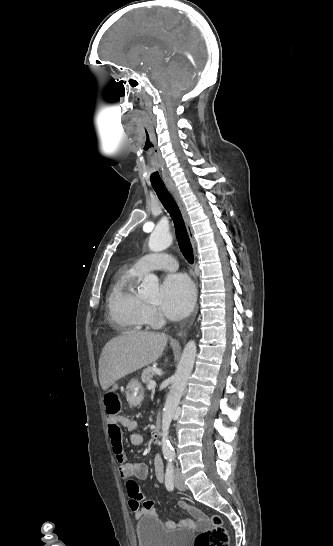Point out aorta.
Returning a JSON list of instances; mask_svg holds the SVG:
<instances>
[{
  "label": "aorta",
  "instance_id": "aorta-1",
  "mask_svg": "<svg viewBox=\"0 0 333 546\" xmlns=\"http://www.w3.org/2000/svg\"><path fill=\"white\" fill-rule=\"evenodd\" d=\"M172 243V235L167 229L156 227L149 238V249L153 252H160L167 249ZM143 293L150 299L158 298L159 282L155 274H148L142 282ZM196 343L189 341L182 353L177 370L172 377V384L167 396L162 415V452L164 455L173 453V447L169 440V428L174 413L179 405L181 396L186 388L188 379L193 370L196 358Z\"/></svg>",
  "mask_w": 333,
  "mask_h": 546
}]
</instances>
